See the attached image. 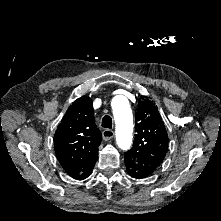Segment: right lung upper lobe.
<instances>
[{
  "label": "right lung upper lobe",
  "mask_w": 221,
  "mask_h": 221,
  "mask_svg": "<svg viewBox=\"0 0 221 221\" xmlns=\"http://www.w3.org/2000/svg\"><path fill=\"white\" fill-rule=\"evenodd\" d=\"M101 139L93 101L82 96L69 106L54 135L57 159L69 176L80 180L95 164Z\"/></svg>",
  "instance_id": "right-lung-upper-lobe-1"
}]
</instances>
